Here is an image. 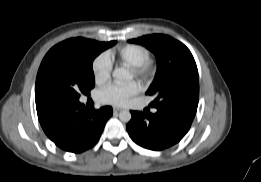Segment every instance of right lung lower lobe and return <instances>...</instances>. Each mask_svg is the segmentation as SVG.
Here are the masks:
<instances>
[{
  "label": "right lung lower lobe",
  "mask_w": 261,
  "mask_h": 182,
  "mask_svg": "<svg viewBox=\"0 0 261 182\" xmlns=\"http://www.w3.org/2000/svg\"><path fill=\"white\" fill-rule=\"evenodd\" d=\"M112 113L110 106L89 111L76 102L50 106L38 113V118L46 135L59 148L80 153L97 143Z\"/></svg>",
  "instance_id": "obj_1"
}]
</instances>
